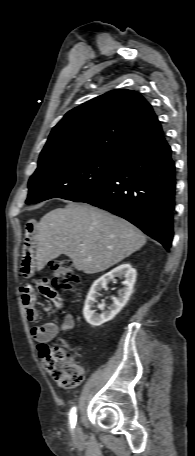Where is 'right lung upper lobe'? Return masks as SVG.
I'll return each instance as SVG.
<instances>
[{
    "label": "right lung upper lobe",
    "mask_w": 195,
    "mask_h": 456,
    "mask_svg": "<svg viewBox=\"0 0 195 456\" xmlns=\"http://www.w3.org/2000/svg\"><path fill=\"white\" fill-rule=\"evenodd\" d=\"M166 145L151 105L135 91L117 89L70 110L52 129L38 164L65 158L122 163Z\"/></svg>",
    "instance_id": "right-lung-upper-lobe-1"
}]
</instances>
